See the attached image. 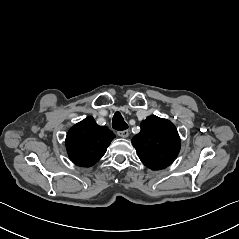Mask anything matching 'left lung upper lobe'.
Here are the masks:
<instances>
[{
    "instance_id": "obj_1",
    "label": "left lung upper lobe",
    "mask_w": 239,
    "mask_h": 239,
    "mask_svg": "<svg viewBox=\"0 0 239 239\" xmlns=\"http://www.w3.org/2000/svg\"><path fill=\"white\" fill-rule=\"evenodd\" d=\"M140 160L152 170L169 166L180 151L176 127L166 119L151 115L141 123V131L132 139Z\"/></svg>"
}]
</instances>
